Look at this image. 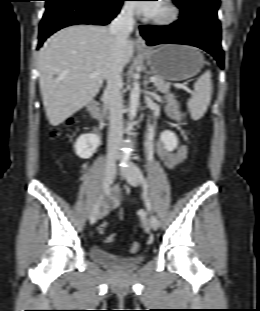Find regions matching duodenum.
<instances>
[{"label":"duodenum","mask_w":260,"mask_h":311,"mask_svg":"<svg viewBox=\"0 0 260 311\" xmlns=\"http://www.w3.org/2000/svg\"><path fill=\"white\" fill-rule=\"evenodd\" d=\"M88 112L96 119L101 120L104 117V113L101 107L100 102L93 98L89 101L88 105Z\"/></svg>","instance_id":"410a0bca"}]
</instances>
